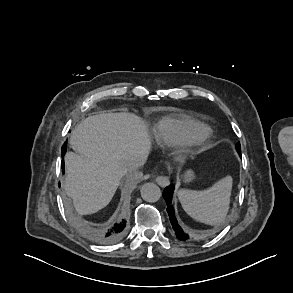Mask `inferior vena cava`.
<instances>
[{"mask_svg": "<svg viewBox=\"0 0 293 293\" xmlns=\"http://www.w3.org/2000/svg\"><path fill=\"white\" fill-rule=\"evenodd\" d=\"M146 155H139L134 158H132L128 163H127V169L128 170H134L137 169L141 166H143L146 162Z\"/></svg>", "mask_w": 293, "mask_h": 293, "instance_id": "obj_1", "label": "inferior vena cava"}]
</instances>
